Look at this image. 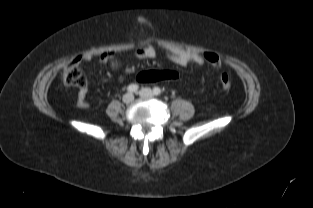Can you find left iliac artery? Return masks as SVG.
Listing matches in <instances>:
<instances>
[{
  "label": "left iliac artery",
  "mask_w": 313,
  "mask_h": 208,
  "mask_svg": "<svg viewBox=\"0 0 313 208\" xmlns=\"http://www.w3.org/2000/svg\"><path fill=\"white\" fill-rule=\"evenodd\" d=\"M153 93H154L155 95H159V94H161V89H160L159 87H154V88H153Z\"/></svg>",
  "instance_id": "44dca946"
}]
</instances>
